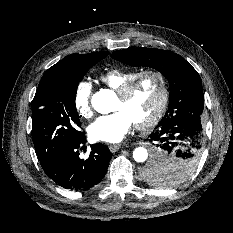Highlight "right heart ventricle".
I'll return each mask as SVG.
<instances>
[{
  "label": "right heart ventricle",
  "mask_w": 233,
  "mask_h": 233,
  "mask_svg": "<svg viewBox=\"0 0 233 233\" xmlns=\"http://www.w3.org/2000/svg\"><path fill=\"white\" fill-rule=\"evenodd\" d=\"M136 73H138L137 70L114 67L101 73L98 76V79L101 83L116 91L123 83L133 77Z\"/></svg>",
  "instance_id": "e07e8e85"
}]
</instances>
